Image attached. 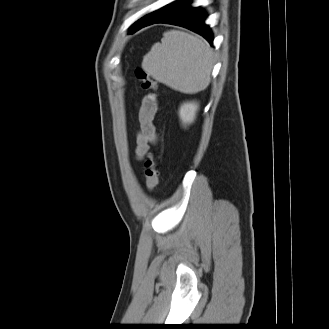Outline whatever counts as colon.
Wrapping results in <instances>:
<instances>
[{
    "label": "colon",
    "mask_w": 329,
    "mask_h": 329,
    "mask_svg": "<svg viewBox=\"0 0 329 329\" xmlns=\"http://www.w3.org/2000/svg\"><path fill=\"white\" fill-rule=\"evenodd\" d=\"M135 77L140 83L142 89L150 91V96L157 99L158 96V85L155 80L142 68H137L135 70ZM145 177H146V187L149 192H152L159 182V170H158V160L155 152H149L147 154L145 163Z\"/></svg>",
    "instance_id": "colon-1"
}]
</instances>
